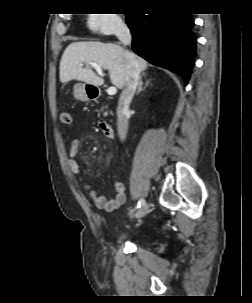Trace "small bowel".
I'll return each instance as SVG.
<instances>
[{"instance_id":"1","label":"small bowel","mask_w":252,"mask_h":303,"mask_svg":"<svg viewBox=\"0 0 252 303\" xmlns=\"http://www.w3.org/2000/svg\"><path fill=\"white\" fill-rule=\"evenodd\" d=\"M80 139H73L69 145V156L67 159V165L70 172L78 177L79 182H81L85 189L89 192V196L98 209L104 211H114L118 209L126 200L125 197V188L124 185L120 181H114L113 189H114V197L110 200H106V198L99 194L97 191L93 190L89 184H86L83 177L80 174V167L76 160V156L79 150Z\"/></svg>"}]
</instances>
